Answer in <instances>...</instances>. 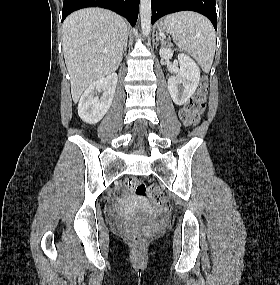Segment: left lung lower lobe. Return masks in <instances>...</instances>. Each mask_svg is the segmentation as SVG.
Segmentation results:
<instances>
[{"instance_id":"obj_1","label":"left lung lower lobe","mask_w":280,"mask_h":285,"mask_svg":"<svg viewBox=\"0 0 280 285\" xmlns=\"http://www.w3.org/2000/svg\"><path fill=\"white\" fill-rule=\"evenodd\" d=\"M151 4L152 24L166 14L190 10L205 15L217 30L215 0H151Z\"/></svg>"}]
</instances>
